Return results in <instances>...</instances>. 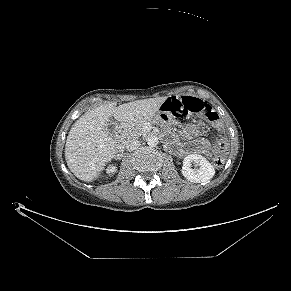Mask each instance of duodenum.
Returning a JSON list of instances; mask_svg holds the SVG:
<instances>
[{"instance_id":"duodenum-1","label":"duodenum","mask_w":291,"mask_h":291,"mask_svg":"<svg viewBox=\"0 0 291 291\" xmlns=\"http://www.w3.org/2000/svg\"><path fill=\"white\" fill-rule=\"evenodd\" d=\"M124 150V142L123 141H118L115 149V157L116 158H121Z\"/></svg>"}]
</instances>
